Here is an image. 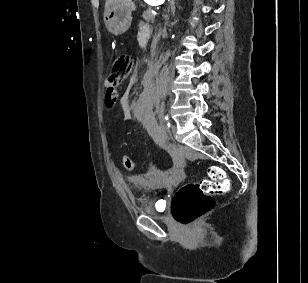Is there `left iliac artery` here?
Masks as SVG:
<instances>
[{
  "label": "left iliac artery",
  "mask_w": 308,
  "mask_h": 283,
  "mask_svg": "<svg viewBox=\"0 0 308 283\" xmlns=\"http://www.w3.org/2000/svg\"><path fill=\"white\" fill-rule=\"evenodd\" d=\"M164 121H165L166 127L170 128V121H169L168 116H165Z\"/></svg>",
  "instance_id": "1"
}]
</instances>
